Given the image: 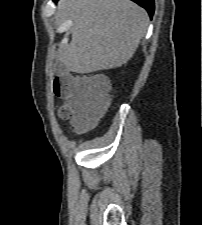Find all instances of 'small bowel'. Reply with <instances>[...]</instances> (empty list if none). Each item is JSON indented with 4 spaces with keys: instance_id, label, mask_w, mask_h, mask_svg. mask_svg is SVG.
I'll list each match as a JSON object with an SVG mask.
<instances>
[{
    "instance_id": "obj_1",
    "label": "small bowel",
    "mask_w": 202,
    "mask_h": 225,
    "mask_svg": "<svg viewBox=\"0 0 202 225\" xmlns=\"http://www.w3.org/2000/svg\"><path fill=\"white\" fill-rule=\"evenodd\" d=\"M97 79L103 80L107 83L110 82L109 78L103 74H99ZM70 104L74 110L72 124L73 126H78L89 116V111L86 107V101L83 97L76 95L71 99Z\"/></svg>"
}]
</instances>
